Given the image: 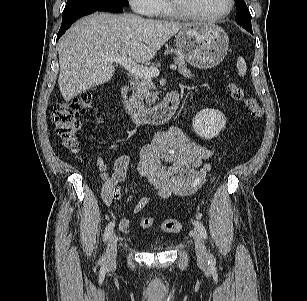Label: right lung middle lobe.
Returning <instances> with one entry per match:
<instances>
[{
	"label": "right lung middle lobe",
	"mask_w": 307,
	"mask_h": 301,
	"mask_svg": "<svg viewBox=\"0 0 307 301\" xmlns=\"http://www.w3.org/2000/svg\"><path fill=\"white\" fill-rule=\"evenodd\" d=\"M110 5L126 7L127 0H67L63 16L95 6Z\"/></svg>",
	"instance_id": "obj_1"
}]
</instances>
